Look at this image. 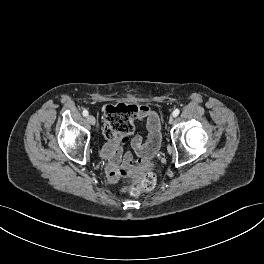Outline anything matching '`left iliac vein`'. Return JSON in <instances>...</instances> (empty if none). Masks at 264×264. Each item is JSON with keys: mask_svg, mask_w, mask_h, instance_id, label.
Segmentation results:
<instances>
[{"mask_svg": "<svg viewBox=\"0 0 264 264\" xmlns=\"http://www.w3.org/2000/svg\"><path fill=\"white\" fill-rule=\"evenodd\" d=\"M174 122H175L174 117H170V119H169V124H174Z\"/></svg>", "mask_w": 264, "mask_h": 264, "instance_id": "4c4485c4", "label": "left iliac vein"}]
</instances>
